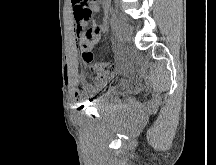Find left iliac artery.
<instances>
[{
    "instance_id": "44dca946",
    "label": "left iliac artery",
    "mask_w": 216,
    "mask_h": 165,
    "mask_svg": "<svg viewBox=\"0 0 216 165\" xmlns=\"http://www.w3.org/2000/svg\"><path fill=\"white\" fill-rule=\"evenodd\" d=\"M117 21H118L117 15L113 13L111 16V24L113 29H115Z\"/></svg>"
}]
</instances>
